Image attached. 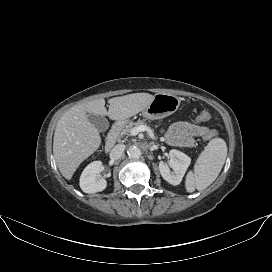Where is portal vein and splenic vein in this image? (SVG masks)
Returning <instances> with one entry per match:
<instances>
[{"mask_svg":"<svg viewBox=\"0 0 272 272\" xmlns=\"http://www.w3.org/2000/svg\"><path fill=\"white\" fill-rule=\"evenodd\" d=\"M142 131V126L134 127L131 131V135H137L139 132Z\"/></svg>","mask_w":272,"mask_h":272,"instance_id":"portal-vein-and-splenic-vein-1","label":"portal vein and splenic vein"}]
</instances>
